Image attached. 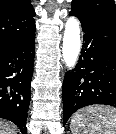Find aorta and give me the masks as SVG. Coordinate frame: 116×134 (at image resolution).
Masks as SVG:
<instances>
[{"label":"aorta","instance_id":"1","mask_svg":"<svg viewBox=\"0 0 116 134\" xmlns=\"http://www.w3.org/2000/svg\"><path fill=\"white\" fill-rule=\"evenodd\" d=\"M80 26L75 17H70L66 24L63 37V60L67 69H72L78 59L80 52Z\"/></svg>","mask_w":116,"mask_h":134}]
</instances>
